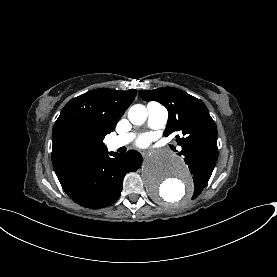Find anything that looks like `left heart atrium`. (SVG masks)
<instances>
[{
  "label": "left heart atrium",
  "mask_w": 277,
  "mask_h": 277,
  "mask_svg": "<svg viewBox=\"0 0 277 277\" xmlns=\"http://www.w3.org/2000/svg\"><path fill=\"white\" fill-rule=\"evenodd\" d=\"M137 144L141 148H147L150 144V139L148 136L144 135V136L140 137Z\"/></svg>",
  "instance_id": "39dd6f15"
}]
</instances>
